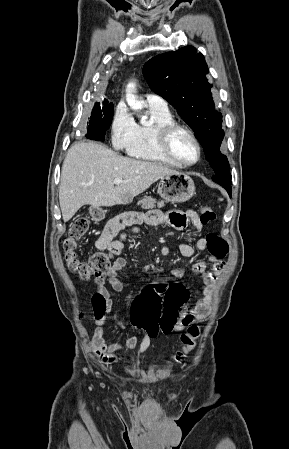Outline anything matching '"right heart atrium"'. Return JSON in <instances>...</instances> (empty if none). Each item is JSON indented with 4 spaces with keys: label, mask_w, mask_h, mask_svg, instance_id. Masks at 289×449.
I'll return each mask as SVG.
<instances>
[{
    "label": "right heart atrium",
    "mask_w": 289,
    "mask_h": 449,
    "mask_svg": "<svg viewBox=\"0 0 289 449\" xmlns=\"http://www.w3.org/2000/svg\"><path fill=\"white\" fill-rule=\"evenodd\" d=\"M111 139L118 149L129 150L137 139V123L124 104H119L111 121Z\"/></svg>",
    "instance_id": "right-heart-atrium-1"
}]
</instances>
